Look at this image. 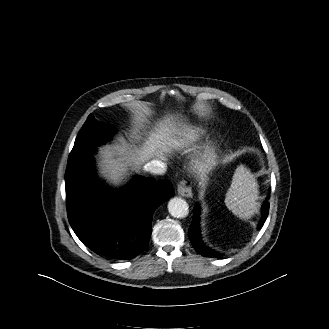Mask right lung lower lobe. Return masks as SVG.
<instances>
[{
	"mask_svg": "<svg viewBox=\"0 0 329 329\" xmlns=\"http://www.w3.org/2000/svg\"><path fill=\"white\" fill-rule=\"evenodd\" d=\"M94 152L67 163L68 220L77 237L96 254L128 260L148 247L153 212L174 190L167 180L136 177L128 187L110 192L95 178Z\"/></svg>",
	"mask_w": 329,
	"mask_h": 329,
	"instance_id": "1",
	"label": "right lung lower lobe"
}]
</instances>
